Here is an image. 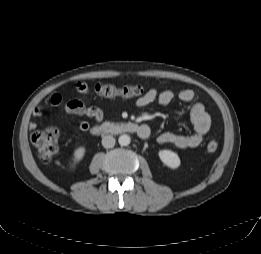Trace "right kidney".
Here are the masks:
<instances>
[{
  "label": "right kidney",
  "instance_id": "right-kidney-1",
  "mask_svg": "<svg viewBox=\"0 0 261 254\" xmlns=\"http://www.w3.org/2000/svg\"><path fill=\"white\" fill-rule=\"evenodd\" d=\"M86 149L84 147H79L74 152V161L79 162L83 159Z\"/></svg>",
  "mask_w": 261,
  "mask_h": 254
}]
</instances>
